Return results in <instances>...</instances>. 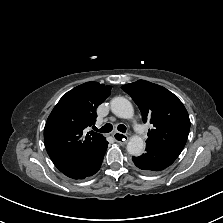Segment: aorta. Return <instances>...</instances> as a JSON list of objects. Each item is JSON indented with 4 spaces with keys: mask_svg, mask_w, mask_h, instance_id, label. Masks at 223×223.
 I'll list each match as a JSON object with an SVG mask.
<instances>
[{
    "mask_svg": "<svg viewBox=\"0 0 223 223\" xmlns=\"http://www.w3.org/2000/svg\"><path fill=\"white\" fill-rule=\"evenodd\" d=\"M111 111L117 117L131 119L134 116V109L131 102L124 97H115L110 103ZM144 150V141L140 136H132L127 144V151L133 156H140Z\"/></svg>",
    "mask_w": 223,
    "mask_h": 223,
    "instance_id": "762f6f07",
    "label": "aorta"
}]
</instances>
